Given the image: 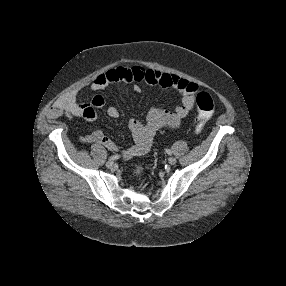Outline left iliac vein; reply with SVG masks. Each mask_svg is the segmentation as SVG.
I'll return each instance as SVG.
<instances>
[{
    "mask_svg": "<svg viewBox=\"0 0 286 286\" xmlns=\"http://www.w3.org/2000/svg\"><path fill=\"white\" fill-rule=\"evenodd\" d=\"M168 162H169V164L174 165V164H176L177 160L174 157H170L168 159Z\"/></svg>",
    "mask_w": 286,
    "mask_h": 286,
    "instance_id": "obj_1",
    "label": "left iliac vein"
}]
</instances>
